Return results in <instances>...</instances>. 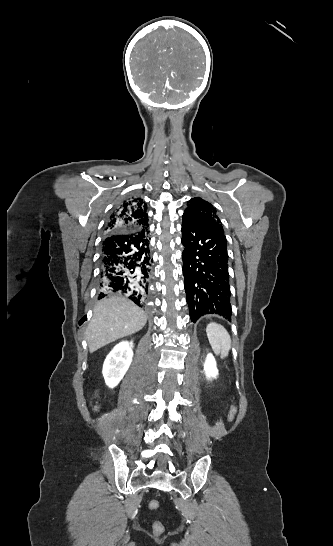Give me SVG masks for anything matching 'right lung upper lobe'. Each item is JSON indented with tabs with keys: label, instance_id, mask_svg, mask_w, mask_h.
Returning a JSON list of instances; mask_svg holds the SVG:
<instances>
[{
	"label": "right lung upper lobe",
	"instance_id": "obj_1",
	"mask_svg": "<svg viewBox=\"0 0 333 546\" xmlns=\"http://www.w3.org/2000/svg\"><path fill=\"white\" fill-rule=\"evenodd\" d=\"M148 225L146 204L140 198H129L117 206L105 227V235L117 231H133Z\"/></svg>",
	"mask_w": 333,
	"mask_h": 546
}]
</instances>
